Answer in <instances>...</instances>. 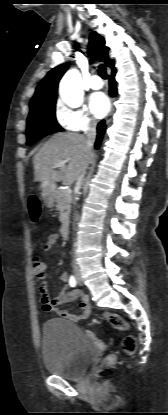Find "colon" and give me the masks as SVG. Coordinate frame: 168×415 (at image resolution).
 <instances>
[{
	"mask_svg": "<svg viewBox=\"0 0 168 415\" xmlns=\"http://www.w3.org/2000/svg\"><path fill=\"white\" fill-rule=\"evenodd\" d=\"M29 210L30 215L33 220H37L39 216V205L38 201L36 199L30 200L29 203ZM46 266V261L43 259L41 255H36L33 257V266H32V273H33V281L39 282L40 279H44L46 277V272L44 271V267ZM103 317L117 330L120 331H126L129 329V323L128 321L116 313L111 312H105L103 314ZM87 336L95 341L97 346L101 349H104L106 347V344L98 340L95 336V334L91 331H87ZM122 348L124 352L128 354H132L136 351L137 348V340L134 336L128 335L126 336L122 341ZM114 355L109 354L103 358L102 363L104 365H110L114 362Z\"/></svg>",
	"mask_w": 168,
	"mask_h": 415,
	"instance_id": "5ec220e1",
	"label": "colon"
}]
</instances>
